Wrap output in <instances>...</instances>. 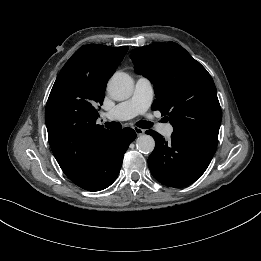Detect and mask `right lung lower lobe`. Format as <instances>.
<instances>
[{"label": "right lung lower lobe", "mask_w": 261, "mask_h": 261, "mask_svg": "<svg viewBox=\"0 0 261 261\" xmlns=\"http://www.w3.org/2000/svg\"><path fill=\"white\" fill-rule=\"evenodd\" d=\"M135 138L136 133L131 128L111 131L102 140L91 162L69 179L88 191H100L109 187L116 180L124 154Z\"/></svg>", "instance_id": "obj_1"}]
</instances>
